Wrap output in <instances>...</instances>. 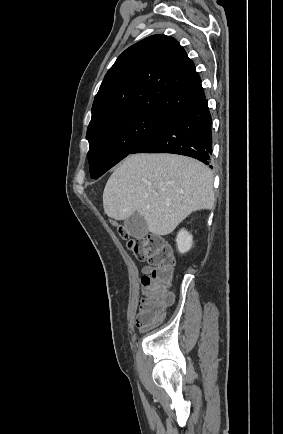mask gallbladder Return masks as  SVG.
Masks as SVG:
<instances>
[{
  "mask_svg": "<svg viewBox=\"0 0 283 434\" xmlns=\"http://www.w3.org/2000/svg\"><path fill=\"white\" fill-rule=\"evenodd\" d=\"M124 229L130 236L135 238H142L148 234L146 220L137 212L124 221Z\"/></svg>",
  "mask_w": 283,
  "mask_h": 434,
  "instance_id": "1",
  "label": "gallbladder"
}]
</instances>
